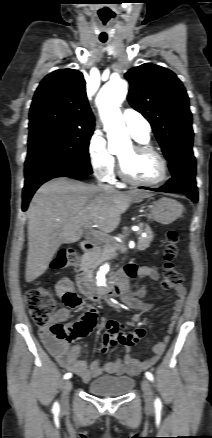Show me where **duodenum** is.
I'll list each match as a JSON object with an SVG mask.
<instances>
[{"label":"duodenum","mask_w":212,"mask_h":438,"mask_svg":"<svg viewBox=\"0 0 212 438\" xmlns=\"http://www.w3.org/2000/svg\"><path fill=\"white\" fill-rule=\"evenodd\" d=\"M81 249L86 257L84 264L77 273L76 286L78 290L89 300L95 302H101L119 296L122 291L121 276L115 277L108 288H98L90 278L88 266L89 256L94 250V245L91 241L85 240L81 244Z\"/></svg>","instance_id":"obj_1"}]
</instances>
